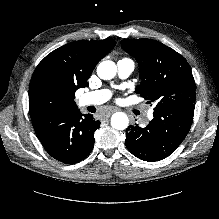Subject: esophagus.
<instances>
[{
  "label": "esophagus",
  "instance_id": "esophagus-1",
  "mask_svg": "<svg viewBox=\"0 0 219 219\" xmlns=\"http://www.w3.org/2000/svg\"><path fill=\"white\" fill-rule=\"evenodd\" d=\"M116 111H118L117 108H112V109H110V111H108V113L111 114V113L116 112ZM103 120L106 122L108 120V115H105L103 117Z\"/></svg>",
  "mask_w": 219,
  "mask_h": 219
}]
</instances>
